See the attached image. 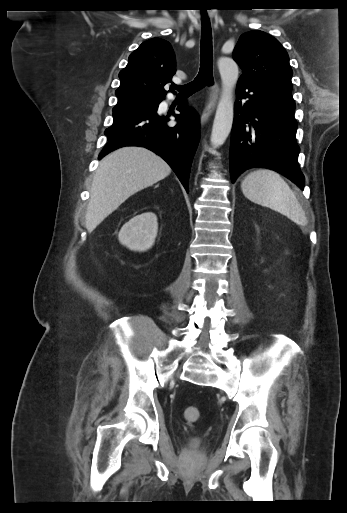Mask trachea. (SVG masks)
Segmentation results:
<instances>
[{"instance_id":"trachea-1","label":"trachea","mask_w":347,"mask_h":513,"mask_svg":"<svg viewBox=\"0 0 347 513\" xmlns=\"http://www.w3.org/2000/svg\"><path fill=\"white\" fill-rule=\"evenodd\" d=\"M200 52V69L196 78L185 85H172V87L181 94L190 95L203 88L205 85L213 84L212 29L209 20L202 21Z\"/></svg>"}]
</instances>
